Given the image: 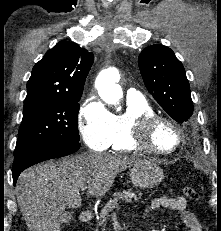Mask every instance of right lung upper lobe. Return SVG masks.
<instances>
[{"label": "right lung upper lobe", "instance_id": "right-lung-upper-lobe-1", "mask_svg": "<svg viewBox=\"0 0 221 231\" xmlns=\"http://www.w3.org/2000/svg\"><path fill=\"white\" fill-rule=\"evenodd\" d=\"M94 55L75 43L60 41L35 64L24 102L81 97Z\"/></svg>", "mask_w": 221, "mask_h": 231}]
</instances>
